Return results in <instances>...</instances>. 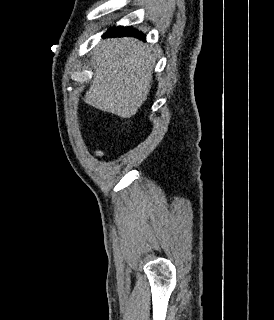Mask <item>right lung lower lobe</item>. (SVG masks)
Returning a JSON list of instances; mask_svg holds the SVG:
<instances>
[{
    "label": "right lung lower lobe",
    "mask_w": 274,
    "mask_h": 320,
    "mask_svg": "<svg viewBox=\"0 0 274 320\" xmlns=\"http://www.w3.org/2000/svg\"><path fill=\"white\" fill-rule=\"evenodd\" d=\"M105 37H122V36H133L139 39H144L145 35L131 27H114L107 31Z\"/></svg>",
    "instance_id": "right-lung-lower-lobe-1"
}]
</instances>
